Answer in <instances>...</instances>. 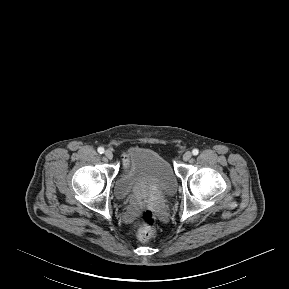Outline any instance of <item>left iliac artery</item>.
<instances>
[{
    "label": "left iliac artery",
    "mask_w": 289,
    "mask_h": 289,
    "mask_svg": "<svg viewBox=\"0 0 289 289\" xmlns=\"http://www.w3.org/2000/svg\"><path fill=\"white\" fill-rule=\"evenodd\" d=\"M192 153H193V155H195V156H196V155H198V153H199V150H198V149H193V150H192Z\"/></svg>",
    "instance_id": "left-iliac-artery-1"
}]
</instances>
